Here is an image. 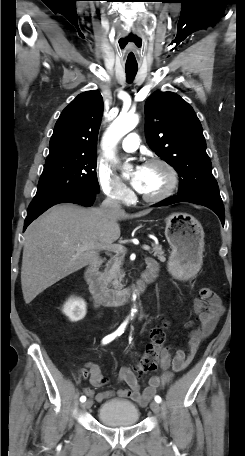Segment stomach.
<instances>
[{
  "mask_svg": "<svg viewBox=\"0 0 245 456\" xmlns=\"http://www.w3.org/2000/svg\"><path fill=\"white\" fill-rule=\"evenodd\" d=\"M165 236L172 249L168 266L178 279L193 277L202 265L204 230L188 213H172L165 219Z\"/></svg>",
  "mask_w": 245,
  "mask_h": 456,
  "instance_id": "1",
  "label": "stomach"
}]
</instances>
